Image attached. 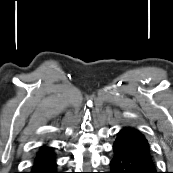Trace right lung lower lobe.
Here are the masks:
<instances>
[{
  "label": "right lung lower lobe",
  "mask_w": 173,
  "mask_h": 173,
  "mask_svg": "<svg viewBox=\"0 0 173 173\" xmlns=\"http://www.w3.org/2000/svg\"><path fill=\"white\" fill-rule=\"evenodd\" d=\"M29 173H61L57 171L56 157L52 148L45 145L40 147Z\"/></svg>",
  "instance_id": "right-lung-lower-lobe-1"
}]
</instances>
